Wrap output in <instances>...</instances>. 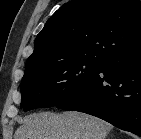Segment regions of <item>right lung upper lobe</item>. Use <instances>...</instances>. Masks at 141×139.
Listing matches in <instances>:
<instances>
[{
    "mask_svg": "<svg viewBox=\"0 0 141 139\" xmlns=\"http://www.w3.org/2000/svg\"><path fill=\"white\" fill-rule=\"evenodd\" d=\"M141 43L140 0H72L46 22L25 70L77 57L106 59Z\"/></svg>",
    "mask_w": 141,
    "mask_h": 139,
    "instance_id": "1",
    "label": "right lung upper lobe"
}]
</instances>
